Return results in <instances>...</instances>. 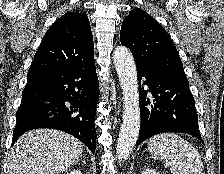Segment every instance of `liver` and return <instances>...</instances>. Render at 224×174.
<instances>
[{
	"label": "liver",
	"instance_id": "liver-1",
	"mask_svg": "<svg viewBox=\"0 0 224 174\" xmlns=\"http://www.w3.org/2000/svg\"><path fill=\"white\" fill-rule=\"evenodd\" d=\"M83 144L54 129L24 133L11 149L9 174H63L82 156Z\"/></svg>",
	"mask_w": 224,
	"mask_h": 174
}]
</instances>
